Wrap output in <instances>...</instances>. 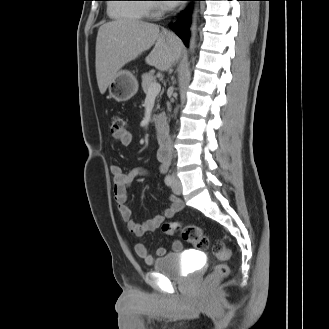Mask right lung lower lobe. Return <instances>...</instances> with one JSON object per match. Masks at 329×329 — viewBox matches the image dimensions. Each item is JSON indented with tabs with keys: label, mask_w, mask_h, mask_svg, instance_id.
<instances>
[{
	"label": "right lung lower lobe",
	"mask_w": 329,
	"mask_h": 329,
	"mask_svg": "<svg viewBox=\"0 0 329 329\" xmlns=\"http://www.w3.org/2000/svg\"><path fill=\"white\" fill-rule=\"evenodd\" d=\"M190 23H191L190 10L187 9L180 14L179 20L174 27L176 34L183 40L186 46H188V40L190 36V32H189Z\"/></svg>",
	"instance_id": "obj_1"
}]
</instances>
